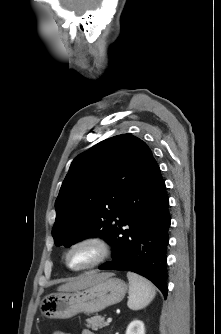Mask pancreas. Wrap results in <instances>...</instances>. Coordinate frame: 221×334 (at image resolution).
Masks as SVG:
<instances>
[{
    "instance_id": "cf45deb5",
    "label": "pancreas",
    "mask_w": 221,
    "mask_h": 334,
    "mask_svg": "<svg viewBox=\"0 0 221 334\" xmlns=\"http://www.w3.org/2000/svg\"><path fill=\"white\" fill-rule=\"evenodd\" d=\"M86 326L91 328L92 330H98L103 327L108 326V323L105 322V318L100 315L93 316L91 318L86 319Z\"/></svg>"
}]
</instances>
